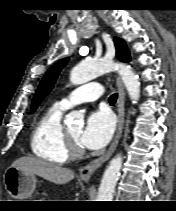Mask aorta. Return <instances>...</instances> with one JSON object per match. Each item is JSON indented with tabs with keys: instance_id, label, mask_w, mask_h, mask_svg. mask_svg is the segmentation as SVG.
<instances>
[{
	"instance_id": "1",
	"label": "aorta",
	"mask_w": 176,
	"mask_h": 211,
	"mask_svg": "<svg viewBox=\"0 0 176 211\" xmlns=\"http://www.w3.org/2000/svg\"><path fill=\"white\" fill-rule=\"evenodd\" d=\"M114 70L119 72L130 99L136 103L140 97V83L130 66L117 64L107 59L82 61L71 70L70 81L74 85H80ZM68 119L83 123L84 116L80 112L72 111ZM122 163L123 159L120 154L110 161L101 180L97 201H112Z\"/></svg>"
}]
</instances>
